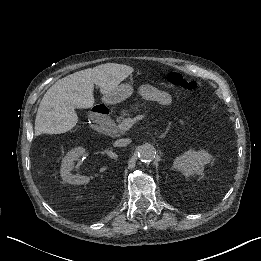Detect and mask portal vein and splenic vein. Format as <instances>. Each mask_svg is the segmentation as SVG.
<instances>
[{
  "mask_svg": "<svg viewBox=\"0 0 261 261\" xmlns=\"http://www.w3.org/2000/svg\"><path fill=\"white\" fill-rule=\"evenodd\" d=\"M146 119L147 116L145 114H138L137 116H134L132 119H124L121 123L117 124V131L126 132L132 127L133 123L137 124L139 121H145Z\"/></svg>",
  "mask_w": 261,
  "mask_h": 261,
  "instance_id": "18ae733b",
  "label": "portal vein and splenic vein"
}]
</instances>
